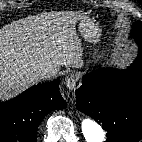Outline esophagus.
Masks as SVG:
<instances>
[{
  "label": "esophagus",
  "instance_id": "34e87169",
  "mask_svg": "<svg viewBox=\"0 0 142 142\" xmlns=\"http://www.w3.org/2000/svg\"><path fill=\"white\" fill-rule=\"evenodd\" d=\"M78 83H79V77L74 73L68 74L65 78V84L71 90L75 89Z\"/></svg>",
  "mask_w": 142,
  "mask_h": 142
}]
</instances>
